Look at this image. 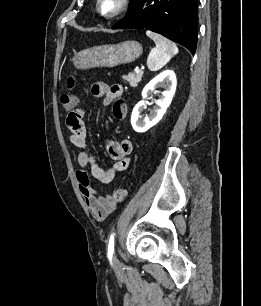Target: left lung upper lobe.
Segmentation results:
<instances>
[{
  "instance_id": "1",
  "label": "left lung upper lobe",
  "mask_w": 261,
  "mask_h": 306,
  "mask_svg": "<svg viewBox=\"0 0 261 306\" xmlns=\"http://www.w3.org/2000/svg\"><path fill=\"white\" fill-rule=\"evenodd\" d=\"M138 0H130V8L129 10L136 4Z\"/></svg>"
}]
</instances>
